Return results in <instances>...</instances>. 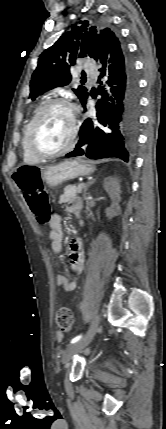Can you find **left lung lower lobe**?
Here are the masks:
<instances>
[{
  "mask_svg": "<svg viewBox=\"0 0 166 429\" xmlns=\"http://www.w3.org/2000/svg\"><path fill=\"white\" fill-rule=\"evenodd\" d=\"M112 44L98 43L95 60L101 65L100 78L107 81L97 91L101 99L96 115L83 122L76 148L66 156L116 157L128 162L136 147L140 110L137 75L119 37ZM86 102L82 103L84 110Z\"/></svg>",
  "mask_w": 166,
  "mask_h": 429,
  "instance_id": "0a47b994",
  "label": "left lung lower lobe"
}]
</instances>
